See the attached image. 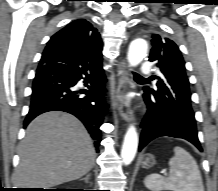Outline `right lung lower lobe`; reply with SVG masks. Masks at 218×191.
<instances>
[{
    "label": "right lung lower lobe",
    "mask_w": 218,
    "mask_h": 191,
    "mask_svg": "<svg viewBox=\"0 0 218 191\" xmlns=\"http://www.w3.org/2000/svg\"><path fill=\"white\" fill-rule=\"evenodd\" d=\"M81 79L87 89H77ZM105 82L101 51L80 54L62 47L46 46L33 81L24 127L44 112H68L84 123L98 147L101 141L99 127L107 108L102 98Z\"/></svg>",
    "instance_id": "obj_1"
}]
</instances>
